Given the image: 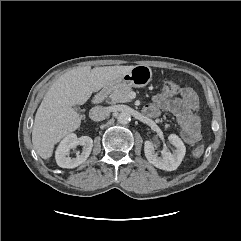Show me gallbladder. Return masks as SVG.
Here are the masks:
<instances>
[{"mask_svg": "<svg viewBox=\"0 0 241 241\" xmlns=\"http://www.w3.org/2000/svg\"><path fill=\"white\" fill-rule=\"evenodd\" d=\"M75 110H76L77 112L81 113V110H80L79 107H75Z\"/></svg>", "mask_w": 241, "mask_h": 241, "instance_id": "1", "label": "gallbladder"}]
</instances>
